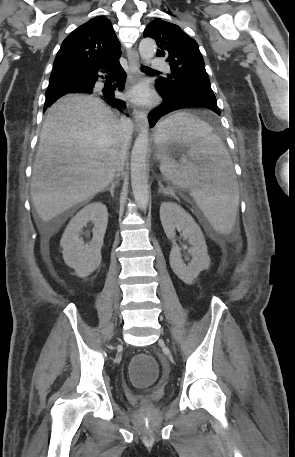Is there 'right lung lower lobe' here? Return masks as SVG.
Instances as JSON below:
<instances>
[{
	"label": "right lung lower lobe",
	"instance_id": "98d812e1",
	"mask_svg": "<svg viewBox=\"0 0 295 457\" xmlns=\"http://www.w3.org/2000/svg\"><path fill=\"white\" fill-rule=\"evenodd\" d=\"M119 57L120 55H117L99 66L83 73L72 74L69 76H64L63 74L50 76L49 86L46 90V92H50V95H46L44 111L51 103L68 93H89L98 95L112 107L123 111V109L126 108V103L115 96L116 91L123 90V83L126 78L125 72L120 65ZM99 71L109 72V75L112 76L115 83L111 84L110 81L109 83H106L103 88L95 86L99 77L102 79L104 78L103 76L98 75ZM107 77L108 76H105V78Z\"/></svg>",
	"mask_w": 295,
	"mask_h": 457
}]
</instances>
